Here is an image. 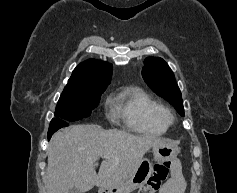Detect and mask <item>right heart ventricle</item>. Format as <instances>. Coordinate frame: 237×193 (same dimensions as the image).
<instances>
[{
  "label": "right heart ventricle",
  "mask_w": 237,
  "mask_h": 193,
  "mask_svg": "<svg viewBox=\"0 0 237 193\" xmlns=\"http://www.w3.org/2000/svg\"><path fill=\"white\" fill-rule=\"evenodd\" d=\"M114 115L135 133L164 134L169 127L166 108L143 89L135 86L122 88L111 100Z\"/></svg>",
  "instance_id": "1"
}]
</instances>
